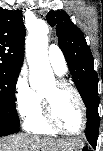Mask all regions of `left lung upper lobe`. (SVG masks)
Segmentation results:
<instances>
[{
  "label": "left lung upper lobe",
  "mask_w": 103,
  "mask_h": 151,
  "mask_svg": "<svg viewBox=\"0 0 103 151\" xmlns=\"http://www.w3.org/2000/svg\"><path fill=\"white\" fill-rule=\"evenodd\" d=\"M47 21L56 27L58 44L67 60L76 87L87 106V101L97 93L98 75L94 70L93 56L83 32L73 24L65 11H50Z\"/></svg>",
  "instance_id": "obj_1"
}]
</instances>
